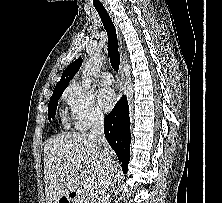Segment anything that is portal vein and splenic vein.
<instances>
[{
  "mask_svg": "<svg viewBox=\"0 0 222 203\" xmlns=\"http://www.w3.org/2000/svg\"><path fill=\"white\" fill-rule=\"evenodd\" d=\"M77 169L79 171H81V167L80 166ZM81 184H82L83 188L86 189V190H90L91 187H92L91 184L88 181H82Z\"/></svg>",
  "mask_w": 222,
  "mask_h": 203,
  "instance_id": "portal-vein-and-splenic-vein-1",
  "label": "portal vein and splenic vein"
}]
</instances>
